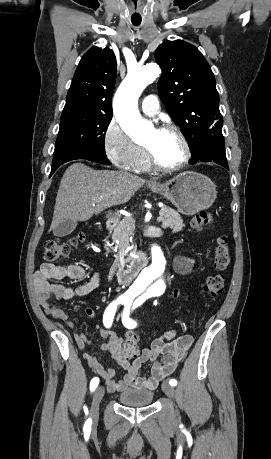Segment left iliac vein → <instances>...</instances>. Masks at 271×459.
<instances>
[{
	"instance_id": "left-iliac-vein-1",
	"label": "left iliac vein",
	"mask_w": 271,
	"mask_h": 459,
	"mask_svg": "<svg viewBox=\"0 0 271 459\" xmlns=\"http://www.w3.org/2000/svg\"><path fill=\"white\" fill-rule=\"evenodd\" d=\"M162 390L169 397H171V398L175 397V391H174L173 387L170 384H168L167 381H164L162 383Z\"/></svg>"
}]
</instances>
